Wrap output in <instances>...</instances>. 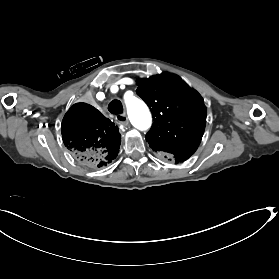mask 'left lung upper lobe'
<instances>
[{
  "mask_svg": "<svg viewBox=\"0 0 279 279\" xmlns=\"http://www.w3.org/2000/svg\"><path fill=\"white\" fill-rule=\"evenodd\" d=\"M137 94L153 114L146 141L169 157L191 156L197 150L206 125L203 99L180 77L161 73L137 80Z\"/></svg>",
  "mask_w": 279,
  "mask_h": 279,
  "instance_id": "1",
  "label": "left lung upper lobe"
}]
</instances>
